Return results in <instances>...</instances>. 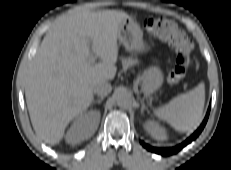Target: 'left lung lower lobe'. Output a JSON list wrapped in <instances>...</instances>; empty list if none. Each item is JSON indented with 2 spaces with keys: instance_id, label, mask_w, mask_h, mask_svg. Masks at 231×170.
Masks as SVG:
<instances>
[{
  "instance_id": "1",
  "label": "left lung lower lobe",
  "mask_w": 231,
  "mask_h": 170,
  "mask_svg": "<svg viewBox=\"0 0 231 170\" xmlns=\"http://www.w3.org/2000/svg\"><path fill=\"white\" fill-rule=\"evenodd\" d=\"M209 112H210V107L208 109V112H207V115L203 121V123L201 124V126L198 128L197 131H195L194 134H192L187 140H185L183 143L175 146V147H172V148H155V147H152V146H149L147 144H145L144 142L141 141V144L149 151L151 152H154V153H157V154H161L163 156H166V155H172V154H175L177 153L178 151H180L183 147H185L187 144H189L190 142H192L194 139H196L198 137V135L201 133V131L203 130L207 120H208V117H209Z\"/></svg>"
}]
</instances>
